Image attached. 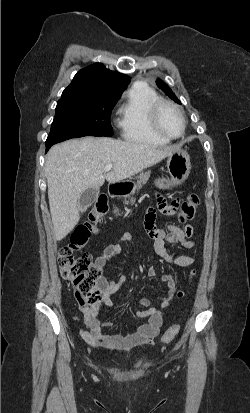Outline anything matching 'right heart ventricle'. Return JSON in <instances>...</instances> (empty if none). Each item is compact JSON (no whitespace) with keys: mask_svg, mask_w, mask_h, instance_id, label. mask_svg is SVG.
Listing matches in <instances>:
<instances>
[{"mask_svg":"<svg viewBox=\"0 0 250 413\" xmlns=\"http://www.w3.org/2000/svg\"><path fill=\"white\" fill-rule=\"evenodd\" d=\"M159 99L157 92L143 82H136L127 90L119 108V128L125 140L156 147L168 143L150 126V110Z\"/></svg>","mask_w":250,"mask_h":413,"instance_id":"right-heart-ventricle-1","label":"right heart ventricle"}]
</instances>
